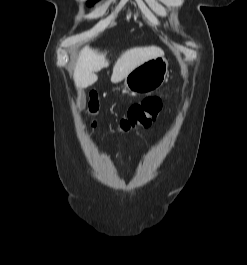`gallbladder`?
<instances>
[{
  "mask_svg": "<svg viewBox=\"0 0 247 265\" xmlns=\"http://www.w3.org/2000/svg\"><path fill=\"white\" fill-rule=\"evenodd\" d=\"M78 101L80 104V108H84L85 106V94L82 89H78Z\"/></svg>",
  "mask_w": 247,
  "mask_h": 265,
  "instance_id": "gallbladder-1",
  "label": "gallbladder"
}]
</instances>
